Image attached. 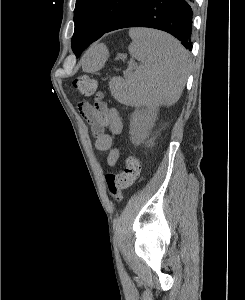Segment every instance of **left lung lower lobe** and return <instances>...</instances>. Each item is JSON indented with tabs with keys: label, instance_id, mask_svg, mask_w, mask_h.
<instances>
[{
	"label": "left lung lower lobe",
	"instance_id": "left-lung-lower-lobe-1",
	"mask_svg": "<svg viewBox=\"0 0 245 300\" xmlns=\"http://www.w3.org/2000/svg\"><path fill=\"white\" fill-rule=\"evenodd\" d=\"M193 0H135L108 27L105 33L128 27H148L166 31L175 36L186 49H192L191 23ZM104 33V34H105ZM102 35L84 40L82 51Z\"/></svg>",
	"mask_w": 245,
	"mask_h": 300
}]
</instances>
